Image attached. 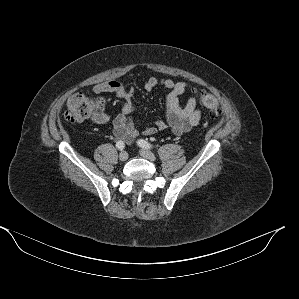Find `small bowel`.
Masks as SVG:
<instances>
[{"label":"small bowel","mask_w":299,"mask_h":299,"mask_svg":"<svg viewBox=\"0 0 299 299\" xmlns=\"http://www.w3.org/2000/svg\"><path fill=\"white\" fill-rule=\"evenodd\" d=\"M132 81V77L126 83L118 80H109L99 83L89 90L90 94L111 93L123 99L122 112L112 121L113 133L116 138L126 144H130L139 134L153 135L158 131L170 130L172 133L180 135L190 131L200 123L202 113L196 96H191L184 107H181L179 103L180 95L195 89L193 84L189 82H174L171 79L149 77L144 82L145 90L152 91L156 87L162 86L167 91L165 117L153 125L138 129L133 120L135 107L133 103ZM96 121L105 124L110 121V117L103 113L98 115Z\"/></svg>","instance_id":"small-bowel-1"}]
</instances>
